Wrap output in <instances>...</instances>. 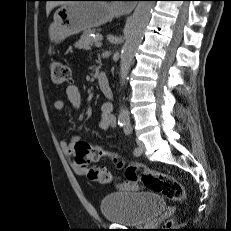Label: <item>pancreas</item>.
Returning <instances> with one entry per match:
<instances>
[{"label":"pancreas","instance_id":"1","mask_svg":"<svg viewBox=\"0 0 231 231\" xmlns=\"http://www.w3.org/2000/svg\"><path fill=\"white\" fill-rule=\"evenodd\" d=\"M91 33H93L91 30L85 31L80 37V40L76 42L75 46L79 49L90 50L91 46L101 39L98 33L95 38L91 37Z\"/></svg>","mask_w":231,"mask_h":231}]
</instances>
